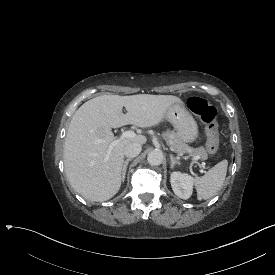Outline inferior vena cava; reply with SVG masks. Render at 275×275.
Listing matches in <instances>:
<instances>
[{"instance_id":"602c4592","label":"inferior vena cava","mask_w":275,"mask_h":275,"mask_svg":"<svg viewBox=\"0 0 275 275\" xmlns=\"http://www.w3.org/2000/svg\"><path fill=\"white\" fill-rule=\"evenodd\" d=\"M142 147L139 143H129L124 147L123 154L126 157H136L141 152Z\"/></svg>"}]
</instances>
